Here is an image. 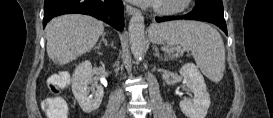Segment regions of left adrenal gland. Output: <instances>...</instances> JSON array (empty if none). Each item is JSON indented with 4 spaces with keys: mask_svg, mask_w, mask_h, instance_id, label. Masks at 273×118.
Masks as SVG:
<instances>
[{
    "mask_svg": "<svg viewBox=\"0 0 273 118\" xmlns=\"http://www.w3.org/2000/svg\"><path fill=\"white\" fill-rule=\"evenodd\" d=\"M155 56L159 57V52L156 50Z\"/></svg>",
    "mask_w": 273,
    "mask_h": 118,
    "instance_id": "left-adrenal-gland-1",
    "label": "left adrenal gland"
}]
</instances>
